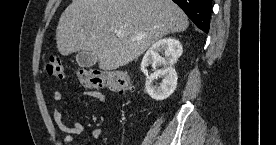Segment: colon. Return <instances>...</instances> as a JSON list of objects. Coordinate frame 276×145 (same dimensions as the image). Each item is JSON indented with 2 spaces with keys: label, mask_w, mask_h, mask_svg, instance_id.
I'll list each match as a JSON object with an SVG mask.
<instances>
[{
  "label": "colon",
  "mask_w": 276,
  "mask_h": 145,
  "mask_svg": "<svg viewBox=\"0 0 276 145\" xmlns=\"http://www.w3.org/2000/svg\"><path fill=\"white\" fill-rule=\"evenodd\" d=\"M46 73L53 78L64 79L66 74L58 56H51L45 65ZM79 83L88 88H107L120 93L131 90V82L126 72L116 69L80 68L76 72Z\"/></svg>",
  "instance_id": "colon-1"
}]
</instances>
